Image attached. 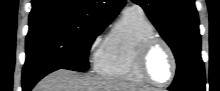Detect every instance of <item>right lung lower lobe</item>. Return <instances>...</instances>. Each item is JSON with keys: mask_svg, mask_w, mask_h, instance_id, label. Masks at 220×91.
<instances>
[{"mask_svg": "<svg viewBox=\"0 0 220 91\" xmlns=\"http://www.w3.org/2000/svg\"><path fill=\"white\" fill-rule=\"evenodd\" d=\"M57 69H60V68H52V69H49L47 70L46 72L40 74L39 76H36V77H33V78H30V79H22V88H23V91H30L33 86L42 78L44 77L45 75L49 74L50 72H53Z\"/></svg>", "mask_w": 220, "mask_h": 91, "instance_id": "right-lung-lower-lobe-1", "label": "right lung lower lobe"}]
</instances>
